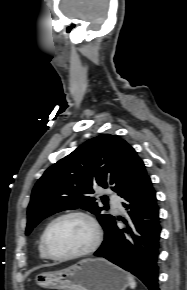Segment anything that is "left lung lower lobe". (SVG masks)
I'll use <instances>...</instances> for the list:
<instances>
[{"mask_svg":"<svg viewBox=\"0 0 187 290\" xmlns=\"http://www.w3.org/2000/svg\"><path fill=\"white\" fill-rule=\"evenodd\" d=\"M128 210L127 229L115 219L105 230L104 242L94 253L137 276L149 290H159L158 255L161 226L156 191L146 174L121 196Z\"/></svg>","mask_w":187,"mask_h":290,"instance_id":"left-lung-lower-lobe-1","label":"left lung lower lobe"}]
</instances>
